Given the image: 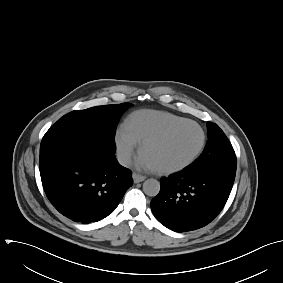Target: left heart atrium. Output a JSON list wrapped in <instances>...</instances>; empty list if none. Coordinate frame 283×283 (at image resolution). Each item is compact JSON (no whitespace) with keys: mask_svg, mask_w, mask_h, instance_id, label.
<instances>
[{"mask_svg":"<svg viewBox=\"0 0 283 283\" xmlns=\"http://www.w3.org/2000/svg\"><path fill=\"white\" fill-rule=\"evenodd\" d=\"M136 166L145 170H155L156 167L150 158L143 152H141L136 159Z\"/></svg>","mask_w":283,"mask_h":283,"instance_id":"39dd6f15","label":"left heart atrium"}]
</instances>
